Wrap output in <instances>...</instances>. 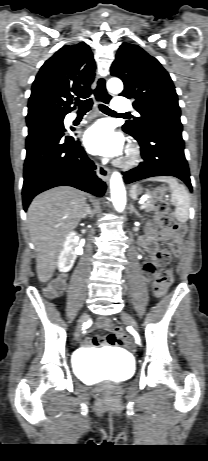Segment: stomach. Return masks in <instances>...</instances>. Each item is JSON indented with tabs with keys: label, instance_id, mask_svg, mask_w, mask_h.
<instances>
[{
	"label": "stomach",
	"instance_id": "1",
	"mask_svg": "<svg viewBox=\"0 0 208 461\" xmlns=\"http://www.w3.org/2000/svg\"><path fill=\"white\" fill-rule=\"evenodd\" d=\"M142 192V188L140 186L136 187V196Z\"/></svg>",
	"mask_w": 208,
	"mask_h": 461
}]
</instances>
